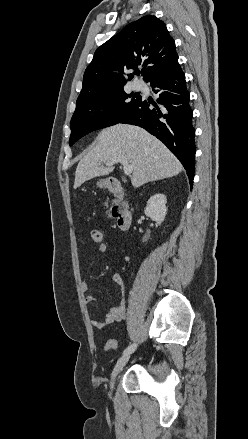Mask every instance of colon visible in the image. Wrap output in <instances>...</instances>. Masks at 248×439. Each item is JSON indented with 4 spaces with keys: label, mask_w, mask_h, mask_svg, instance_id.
Masks as SVG:
<instances>
[{
    "label": "colon",
    "mask_w": 248,
    "mask_h": 439,
    "mask_svg": "<svg viewBox=\"0 0 248 439\" xmlns=\"http://www.w3.org/2000/svg\"><path fill=\"white\" fill-rule=\"evenodd\" d=\"M91 239L94 243L101 244L103 243V233L99 229H92L90 232ZM118 343L114 339H110L105 343V350L117 349Z\"/></svg>",
    "instance_id": "5ec220e1"
}]
</instances>
